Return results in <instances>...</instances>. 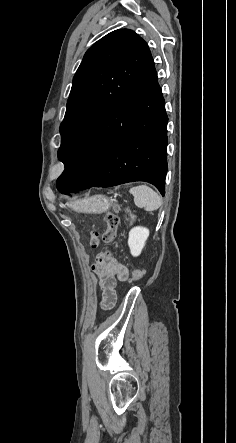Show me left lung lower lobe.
<instances>
[{
    "mask_svg": "<svg viewBox=\"0 0 236 443\" xmlns=\"http://www.w3.org/2000/svg\"><path fill=\"white\" fill-rule=\"evenodd\" d=\"M157 79L151 56L65 164L59 192L146 181L164 196L168 117Z\"/></svg>",
    "mask_w": 236,
    "mask_h": 443,
    "instance_id": "1",
    "label": "left lung lower lobe"
}]
</instances>
